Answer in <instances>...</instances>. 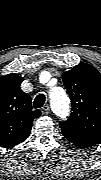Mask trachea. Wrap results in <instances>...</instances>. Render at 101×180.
Here are the masks:
<instances>
[{"label": "trachea", "instance_id": "trachea-1", "mask_svg": "<svg viewBox=\"0 0 101 180\" xmlns=\"http://www.w3.org/2000/svg\"><path fill=\"white\" fill-rule=\"evenodd\" d=\"M45 95L44 94H39L37 97L34 99V108H42L44 103H45Z\"/></svg>", "mask_w": 101, "mask_h": 180}]
</instances>
